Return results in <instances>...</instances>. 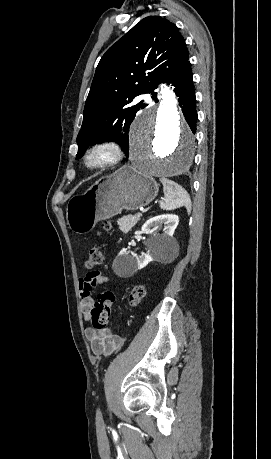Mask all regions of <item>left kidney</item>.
<instances>
[{"instance_id": "obj_1", "label": "left kidney", "mask_w": 271, "mask_h": 459, "mask_svg": "<svg viewBox=\"0 0 271 459\" xmlns=\"http://www.w3.org/2000/svg\"><path fill=\"white\" fill-rule=\"evenodd\" d=\"M179 218L175 214H162V216H155L150 218L142 226V231H149L151 228H159L162 224H165L164 233L160 235H154L153 241L148 249V253H142L138 257H132L130 265H128L127 271L124 273H134L136 269H142L149 261H153L156 257H162L166 251H174L175 239L172 237L175 229L178 226ZM126 249H121L117 261H123L125 259Z\"/></svg>"}]
</instances>
